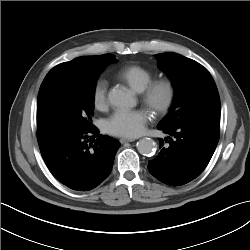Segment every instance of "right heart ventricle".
Returning <instances> with one entry per match:
<instances>
[{
    "instance_id": "e07e8e85",
    "label": "right heart ventricle",
    "mask_w": 250,
    "mask_h": 250,
    "mask_svg": "<svg viewBox=\"0 0 250 250\" xmlns=\"http://www.w3.org/2000/svg\"><path fill=\"white\" fill-rule=\"evenodd\" d=\"M117 78L127 83L133 90L141 92L154 78V74L140 65H129L120 69Z\"/></svg>"
}]
</instances>
